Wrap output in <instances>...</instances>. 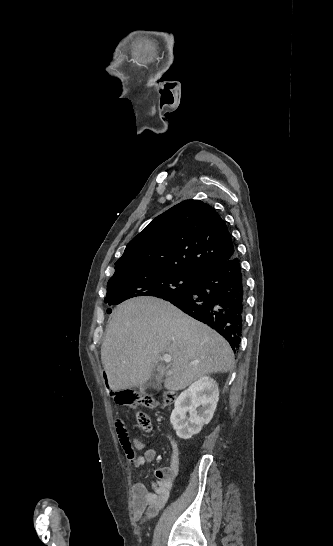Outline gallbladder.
I'll use <instances>...</instances> for the list:
<instances>
[{
  "label": "gallbladder",
  "instance_id": "gallbladder-1",
  "mask_svg": "<svg viewBox=\"0 0 333 546\" xmlns=\"http://www.w3.org/2000/svg\"><path fill=\"white\" fill-rule=\"evenodd\" d=\"M139 390L141 393H151L154 391H158L160 390V383L154 375H151L150 378L143 385L140 386Z\"/></svg>",
  "mask_w": 333,
  "mask_h": 546
}]
</instances>
